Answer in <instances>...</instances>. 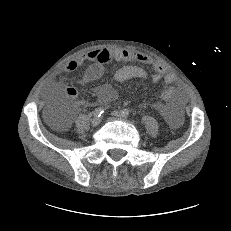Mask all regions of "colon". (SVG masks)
Masks as SVG:
<instances>
[{"mask_svg":"<svg viewBox=\"0 0 231 231\" xmlns=\"http://www.w3.org/2000/svg\"><path fill=\"white\" fill-rule=\"evenodd\" d=\"M162 96L166 101L174 102L179 98L180 91L175 84L168 83L163 88ZM51 112L54 116H60L65 118V121L68 119V114L62 110L58 112H56L55 110H51Z\"/></svg>","mask_w":231,"mask_h":231,"instance_id":"obj_1","label":"colon"}]
</instances>
